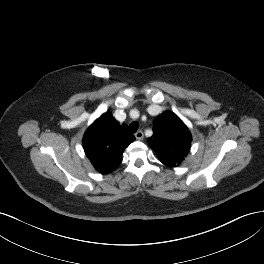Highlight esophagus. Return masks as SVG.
Wrapping results in <instances>:
<instances>
[{"label":"esophagus","instance_id":"esophagus-1","mask_svg":"<svg viewBox=\"0 0 264 264\" xmlns=\"http://www.w3.org/2000/svg\"><path fill=\"white\" fill-rule=\"evenodd\" d=\"M135 137H136L137 140H142L143 137H144V134H143V132L141 130H139V131H137L135 133Z\"/></svg>","mask_w":264,"mask_h":264}]
</instances>
